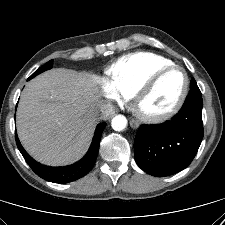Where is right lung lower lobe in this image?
Returning a JSON list of instances; mask_svg holds the SVG:
<instances>
[{
  "label": "right lung lower lobe",
  "mask_w": 225,
  "mask_h": 225,
  "mask_svg": "<svg viewBox=\"0 0 225 225\" xmlns=\"http://www.w3.org/2000/svg\"><path fill=\"white\" fill-rule=\"evenodd\" d=\"M105 127V122L97 126L90 149L83 157V159L73 165L64 167H49L41 165L33 158H31L28 153L23 149L22 145L19 142L17 134L15 139L17 147L23 155L25 161L38 176L50 182L68 183L83 177L93 167L99 151L101 135Z\"/></svg>",
  "instance_id": "98d812e1"
}]
</instances>
